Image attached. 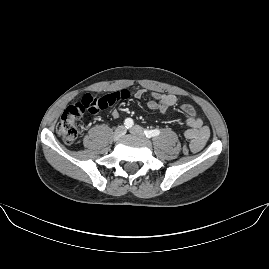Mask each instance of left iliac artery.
<instances>
[{"mask_svg": "<svg viewBox=\"0 0 269 269\" xmlns=\"http://www.w3.org/2000/svg\"><path fill=\"white\" fill-rule=\"evenodd\" d=\"M144 134L147 138H151V137H156L160 134V131L155 129V130H145Z\"/></svg>", "mask_w": 269, "mask_h": 269, "instance_id": "obj_1", "label": "left iliac artery"}]
</instances>
